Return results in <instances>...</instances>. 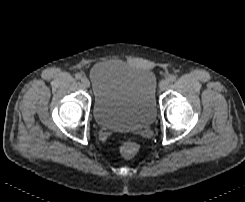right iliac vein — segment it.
I'll list each match as a JSON object with an SVG mask.
<instances>
[{
  "label": "right iliac vein",
  "mask_w": 245,
  "mask_h": 202,
  "mask_svg": "<svg viewBox=\"0 0 245 202\" xmlns=\"http://www.w3.org/2000/svg\"><path fill=\"white\" fill-rule=\"evenodd\" d=\"M81 82H82V85H83L84 87H86V88H88V87L90 86V82H89V80H88L87 77H82V78H81Z\"/></svg>",
  "instance_id": "1"
}]
</instances>
